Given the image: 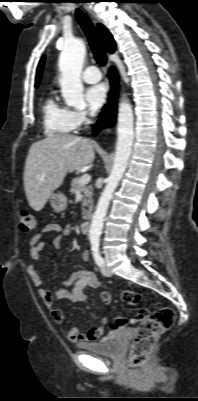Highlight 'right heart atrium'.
I'll return each mask as SVG.
<instances>
[{"instance_id":"right-heart-atrium-1","label":"right heart atrium","mask_w":198,"mask_h":401,"mask_svg":"<svg viewBox=\"0 0 198 401\" xmlns=\"http://www.w3.org/2000/svg\"><path fill=\"white\" fill-rule=\"evenodd\" d=\"M71 115L75 128L82 126L88 120V112L85 110H72Z\"/></svg>"}]
</instances>
